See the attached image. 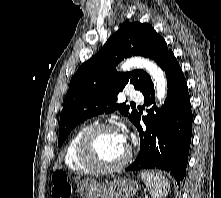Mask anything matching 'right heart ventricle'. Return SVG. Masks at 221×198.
I'll list each match as a JSON object with an SVG mask.
<instances>
[{
  "instance_id": "e07e8e85",
  "label": "right heart ventricle",
  "mask_w": 221,
  "mask_h": 198,
  "mask_svg": "<svg viewBox=\"0 0 221 198\" xmlns=\"http://www.w3.org/2000/svg\"><path fill=\"white\" fill-rule=\"evenodd\" d=\"M88 128L89 126H82L78 128L71 135V137L69 138V140L65 145L64 163L66 167L73 172H79V173L93 172V170H91L81 161L78 151L80 140Z\"/></svg>"
}]
</instances>
